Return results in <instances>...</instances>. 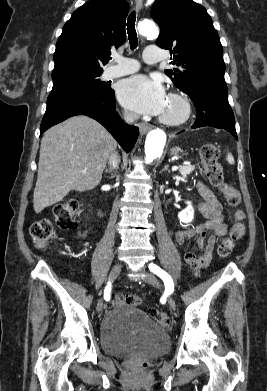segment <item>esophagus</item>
Segmentation results:
<instances>
[{
    "label": "esophagus",
    "instance_id": "34e87169",
    "mask_svg": "<svg viewBox=\"0 0 267 391\" xmlns=\"http://www.w3.org/2000/svg\"><path fill=\"white\" fill-rule=\"evenodd\" d=\"M135 4H136L137 10L139 11L142 7L143 0H135ZM151 127L152 126L149 124L140 123L139 124V131L143 135V134L147 133L151 129Z\"/></svg>",
    "mask_w": 267,
    "mask_h": 391
}]
</instances>
